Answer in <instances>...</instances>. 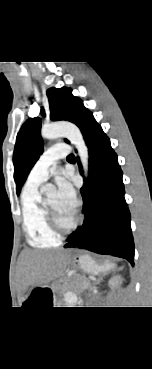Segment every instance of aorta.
<instances>
[{
    "mask_svg": "<svg viewBox=\"0 0 152 369\" xmlns=\"http://www.w3.org/2000/svg\"><path fill=\"white\" fill-rule=\"evenodd\" d=\"M41 136L43 139H55L58 137H66L77 149L78 155L83 165L84 174L88 176L89 154L88 148L83 139L80 129L69 122H58L44 125L41 129ZM42 190L50 195L55 191L52 184H46Z\"/></svg>",
    "mask_w": 152,
    "mask_h": 369,
    "instance_id": "1",
    "label": "aorta"
}]
</instances>
